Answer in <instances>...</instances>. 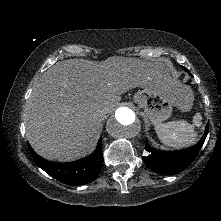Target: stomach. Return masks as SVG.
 <instances>
[{
  "instance_id": "obj_1",
  "label": "stomach",
  "mask_w": 221,
  "mask_h": 221,
  "mask_svg": "<svg viewBox=\"0 0 221 221\" xmlns=\"http://www.w3.org/2000/svg\"><path fill=\"white\" fill-rule=\"evenodd\" d=\"M164 88L165 91L161 88L145 87L133 96V101L144 110L153 124L168 119L174 106L182 111H188L192 106L193 97L189 88L171 79Z\"/></svg>"
}]
</instances>
